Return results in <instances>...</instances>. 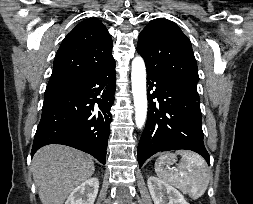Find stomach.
<instances>
[{
	"label": "stomach",
	"mask_w": 253,
	"mask_h": 204,
	"mask_svg": "<svg viewBox=\"0 0 253 204\" xmlns=\"http://www.w3.org/2000/svg\"><path fill=\"white\" fill-rule=\"evenodd\" d=\"M176 161V156L174 154L169 153V159L167 160L166 164L171 165Z\"/></svg>",
	"instance_id": "stomach-1"
}]
</instances>
